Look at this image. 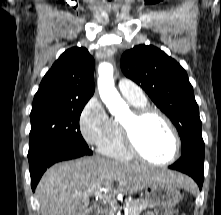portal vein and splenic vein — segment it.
<instances>
[{"label": "portal vein and splenic vein", "mask_w": 221, "mask_h": 215, "mask_svg": "<svg viewBox=\"0 0 221 215\" xmlns=\"http://www.w3.org/2000/svg\"><path fill=\"white\" fill-rule=\"evenodd\" d=\"M101 191H102V189H98V190H95V193L99 194ZM104 198L109 199L108 197H104Z\"/></svg>", "instance_id": "portal-vein-and-splenic-vein-1"}]
</instances>
